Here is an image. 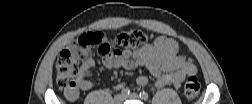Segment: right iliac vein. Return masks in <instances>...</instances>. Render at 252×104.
Masks as SVG:
<instances>
[{"mask_svg":"<svg viewBox=\"0 0 252 104\" xmlns=\"http://www.w3.org/2000/svg\"><path fill=\"white\" fill-rule=\"evenodd\" d=\"M123 100H124V97H123V95H121V94H118V95H116V96L114 97V102H115L116 104H121V103L123 102Z\"/></svg>","mask_w":252,"mask_h":104,"instance_id":"right-iliac-vein-1","label":"right iliac vein"}]
</instances>
